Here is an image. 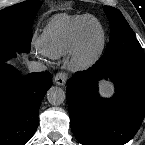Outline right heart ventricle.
Wrapping results in <instances>:
<instances>
[{
	"label": "right heart ventricle",
	"mask_w": 145,
	"mask_h": 145,
	"mask_svg": "<svg viewBox=\"0 0 145 145\" xmlns=\"http://www.w3.org/2000/svg\"><path fill=\"white\" fill-rule=\"evenodd\" d=\"M97 19L89 14H58L42 29L36 39L37 49L51 58H61L73 51L84 28L94 25Z\"/></svg>",
	"instance_id": "e07e8e85"
}]
</instances>
